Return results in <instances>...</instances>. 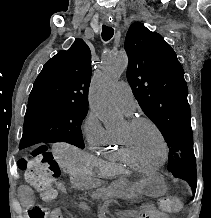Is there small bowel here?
Listing matches in <instances>:
<instances>
[{
    "mask_svg": "<svg viewBox=\"0 0 211 218\" xmlns=\"http://www.w3.org/2000/svg\"><path fill=\"white\" fill-rule=\"evenodd\" d=\"M56 188L60 193L65 192V187L63 183L61 182L56 183ZM19 193H20L21 201L23 204L29 206L34 203L33 192L31 188L27 186H23L20 189ZM81 207L85 208L86 205H82ZM136 212H137V218H168V216L164 212L158 210L153 205H149V204L142 205L136 210ZM51 217L52 218H64V215L60 209L56 208L51 211Z\"/></svg>",
    "mask_w": 211,
    "mask_h": 218,
    "instance_id": "c3829d8e",
    "label": "small bowel"
}]
</instances>
